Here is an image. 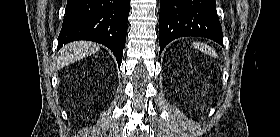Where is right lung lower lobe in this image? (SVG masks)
Returning a JSON list of instances; mask_svg holds the SVG:
<instances>
[{"label":"right lung lower lobe","instance_id":"1","mask_svg":"<svg viewBox=\"0 0 280 137\" xmlns=\"http://www.w3.org/2000/svg\"><path fill=\"white\" fill-rule=\"evenodd\" d=\"M130 0H68L58 49L75 40L111 49L120 67L126 42Z\"/></svg>","mask_w":280,"mask_h":137}]
</instances>
